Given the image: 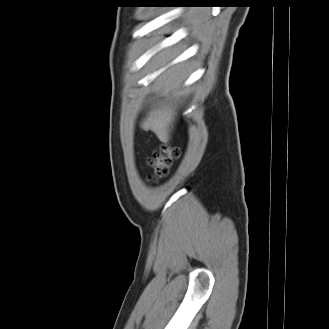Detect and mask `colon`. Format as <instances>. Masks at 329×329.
I'll return each instance as SVG.
<instances>
[{"instance_id": "colon-1", "label": "colon", "mask_w": 329, "mask_h": 329, "mask_svg": "<svg viewBox=\"0 0 329 329\" xmlns=\"http://www.w3.org/2000/svg\"><path fill=\"white\" fill-rule=\"evenodd\" d=\"M180 151L176 147L164 144L155 151L149 158L148 162L152 167V179L158 180L168 175L172 163L178 159Z\"/></svg>"}]
</instances>
